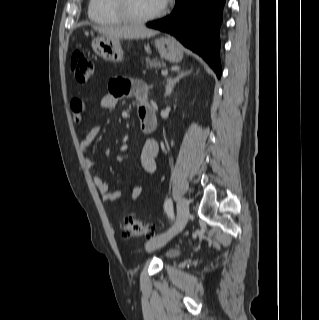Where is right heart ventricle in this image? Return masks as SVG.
Wrapping results in <instances>:
<instances>
[{"instance_id":"1","label":"right heart ventricle","mask_w":319,"mask_h":320,"mask_svg":"<svg viewBox=\"0 0 319 320\" xmlns=\"http://www.w3.org/2000/svg\"><path fill=\"white\" fill-rule=\"evenodd\" d=\"M88 16L101 25H119L125 23L113 6V0H90Z\"/></svg>"}]
</instances>
